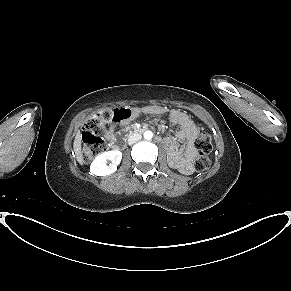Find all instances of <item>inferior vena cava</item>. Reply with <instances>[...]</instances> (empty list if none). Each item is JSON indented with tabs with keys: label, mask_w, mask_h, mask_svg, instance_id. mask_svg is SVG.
<instances>
[{
	"label": "inferior vena cava",
	"mask_w": 291,
	"mask_h": 291,
	"mask_svg": "<svg viewBox=\"0 0 291 291\" xmlns=\"http://www.w3.org/2000/svg\"><path fill=\"white\" fill-rule=\"evenodd\" d=\"M142 138V136L138 133H135L133 135H130L129 139H128V143L129 144H133L136 141L140 140Z\"/></svg>",
	"instance_id": "inferior-vena-cava-1"
}]
</instances>
